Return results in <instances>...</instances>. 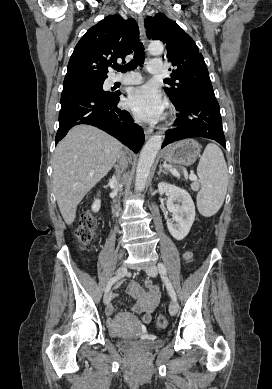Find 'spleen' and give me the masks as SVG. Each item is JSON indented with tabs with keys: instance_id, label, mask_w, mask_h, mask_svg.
I'll return each instance as SVG.
<instances>
[{
	"instance_id": "1",
	"label": "spleen",
	"mask_w": 272,
	"mask_h": 389,
	"mask_svg": "<svg viewBox=\"0 0 272 389\" xmlns=\"http://www.w3.org/2000/svg\"><path fill=\"white\" fill-rule=\"evenodd\" d=\"M197 174L201 189L197 194V207L201 215L210 217L221 208L228 185V170L221 149L209 143L198 164Z\"/></svg>"
}]
</instances>
